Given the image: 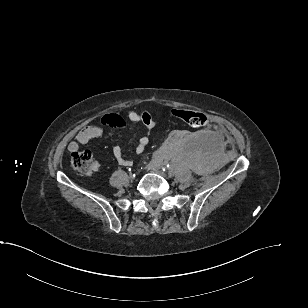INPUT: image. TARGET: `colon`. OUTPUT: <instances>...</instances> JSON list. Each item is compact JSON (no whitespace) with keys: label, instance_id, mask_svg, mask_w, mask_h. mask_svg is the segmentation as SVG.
<instances>
[{"label":"colon","instance_id":"obj_1","mask_svg":"<svg viewBox=\"0 0 308 308\" xmlns=\"http://www.w3.org/2000/svg\"><path fill=\"white\" fill-rule=\"evenodd\" d=\"M172 115L187 125L198 128L207 124V117L200 112L173 109ZM72 168L82 174H89L92 171V156L89 151H74L71 153Z\"/></svg>","mask_w":308,"mask_h":308}]
</instances>
